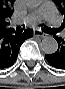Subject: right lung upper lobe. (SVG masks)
I'll use <instances>...</instances> for the list:
<instances>
[{
  "instance_id": "cb5924a9",
  "label": "right lung upper lobe",
  "mask_w": 65,
  "mask_h": 89,
  "mask_svg": "<svg viewBox=\"0 0 65 89\" xmlns=\"http://www.w3.org/2000/svg\"><path fill=\"white\" fill-rule=\"evenodd\" d=\"M15 0H0V30L8 29L6 22L12 16L11 6Z\"/></svg>"
}]
</instances>
